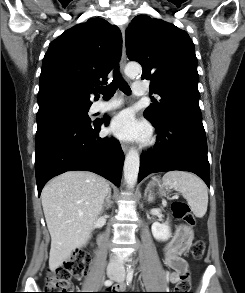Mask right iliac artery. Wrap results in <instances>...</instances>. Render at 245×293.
<instances>
[{
    "instance_id": "right-iliac-artery-1",
    "label": "right iliac artery",
    "mask_w": 245,
    "mask_h": 293,
    "mask_svg": "<svg viewBox=\"0 0 245 293\" xmlns=\"http://www.w3.org/2000/svg\"><path fill=\"white\" fill-rule=\"evenodd\" d=\"M112 284H113V281H112L111 279L106 280V281L104 282V285H105V286H111Z\"/></svg>"
}]
</instances>
